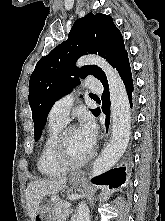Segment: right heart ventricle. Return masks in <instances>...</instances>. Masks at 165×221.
Segmentation results:
<instances>
[{"label":"right heart ventricle","instance_id":"1","mask_svg":"<svg viewBox=\"0 0 165 221\" xmlns=\"http://www.w3.org/2000/svg\"><path fill=\"white\" fill-rule=\"evenodd\" d=\"M65 123L50 121L47 126L46 134L42 143L38 158V169L45 175L50 177L65 174L68 169L59 166L53 156V145L57 134L64 127Z\"/></svg>","mask_w":165,"mask_h":221}]
</instances>
